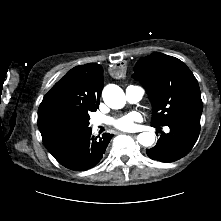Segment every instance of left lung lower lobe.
I'll list each match as a JSON object with an SVG mask.
<instances>
[{
  "instance_id": "0a47b994",
  "label": "left lung lower lobe",
  "mask_w": 221,
  "mask_h": 221,
  "mask_svg": "<svg viewBox=\"0 0 221 221\" xmlns=\"http://www.w3.org/2000/svg\"><path fill=\"white\" fill-rule=\"evenodd\" d=\"M201 115L194 114L181 116L172 119L165 126L170 128V132L165 134L160 131L161 126L157 127V131L161 132L160 138L151 149H147V155L160 162H174L186 156L195 145L200 132Z\"/></svg>"
}]
</instances>
